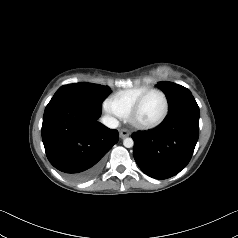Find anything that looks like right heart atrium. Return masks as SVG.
<instances>
[{"instance_id": "d8ad5b80", "label": "right heart atrium", "mask_w": 238, "mask_h": 238, "mask_svg": "<svg viewBox=\"0 0 238 238\" xmlns=\"http://www.w3.org/2000/svg\"><path fill=\"white\" fill-rule=\"evenodd\" d=\"M103 109H104V112L111 116L112 118L114 119H117V118H121L120 115L117 113L112 101L110 100V98L106 99L103 103Z\"/></svg>"}]
</instances>
